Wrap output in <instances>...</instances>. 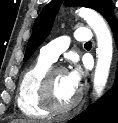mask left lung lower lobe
<instances>
[{"label": "left lung lower lobe", "instance_id": "0a47b994", "mask_svg": "<svg viewBox=\"0 0 118 123\" xmlns=\"http://www.w3.org/2000/svg\"><path fill=\"white\" fill-rule=\"evenodd\" d=\"M118 46L117 19L113 16L109 21ZM68 123H118V68L112 89L104 99L98 100Z\"/></svg>", "mask_w": 118, "mask_h": 123}]
</instances>
